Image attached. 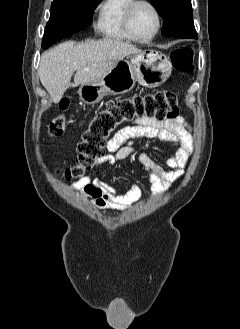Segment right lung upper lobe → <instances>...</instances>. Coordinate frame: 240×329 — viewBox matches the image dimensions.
Here are the masks:
<instances>
[{
  "label": "right lung upper lobe",
  "mask_w": 240,
  "mask_h": 329,
  "mask_svg": "<svg viewBox=\"0 0 240 329\" xmlns=\"http://www.w3.org/2000/svg\"><path fill=\"white\" fill-rule=\"evenodd\" d=\"M54 1H63V0H54Z\"/></svg>",
  "instance_id": "obj_1"
}]
</instances>
